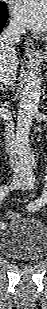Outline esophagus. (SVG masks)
<instances>
[{
    "instance_id": "34e87169",
    "label": "esophagus",
    "mask_w": 47,
    "mask_h": 309,
    "mask_svg": "<svg viewBox=\"0 0 47 309\" xmlns=\"http://www.w3.org/2000/svg\"><path fill=\"white\" fill-rule=\"evenodd\" d=\"M25 52L27 55H33L35 53V43L31 38H27L25 41Z\"/></svg>"
}]
</instances>
